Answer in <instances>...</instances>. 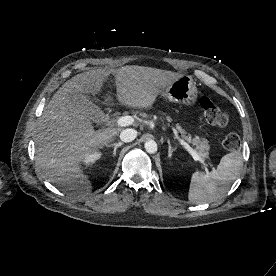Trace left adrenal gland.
Listing matches in <instances>:
<instances>
[{
  "label": "left adrenal gland",
  "mask_w": 276,
  "mask_h": 276,
  "mask_svg": "<svg viewBox=\"0 0 276 276\" xmlns=\"http://www.w3.org/2000/svg\"><path fill=\"white\" fill-rule=\"evenodd\" d=\"M168 145H169V147H168V157L171 158V157H172V153H173L174 151H176V147H175V148H172L171 143H170L169 140H168Z\"/></svg>",
  "instance_id": "a2214340"
}]
</instances>
